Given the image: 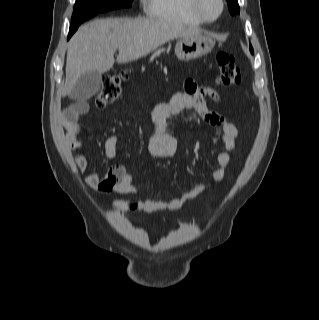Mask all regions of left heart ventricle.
<instances>
[{
  "label": "left heart ventricle",
  "instance_id": "obj_1",
  "mask_svg": "<svg viewBox=\"0 0 319 320\" xmlns=\"http://www.w3.org/2000/svg\"><path fill=\"white\" fill-rule=\"evenodd\" d=\"M201 7L205 14L212 18L217 15L220 9L218 0H201Z\"/></svg>",
  "mask_w": 319,
  "mask_h": 320
}]
</instances>
